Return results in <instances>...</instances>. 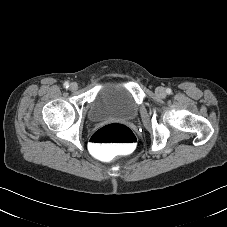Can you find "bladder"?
<instances>
[{
	"mask_svg": "<svg viewBox=\"0 0 227 227\" xmlns=\"http://www.w3.org/2000/svg\"><path fill=\"white\" fill-rule=\"evenodd\" d=\"M138 112L134 98L125 90L113 85L103 87L87 110L91 122L106 120H130Z\"/></svg>",
	"mask_w": 227,
	"mask_h": 227,
	"instance_id": "1",
	"label": "bladder"
}]
</instances>
